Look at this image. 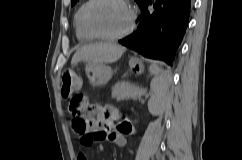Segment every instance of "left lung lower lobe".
Here are the masks:
<instances>
[{
  "label": "left lung lower lobe",
  "mask_w": 242,
  "mask_h": 160,
  "mask_svg": "<svg viewBox=\"0 0 242 160\" xmlns=\"http://www.w3.org/2000/svg\"><path fill=\"white\" fill-rule=\"evenodd\" d=\"M140 9L135 30L119 43L172 65L188 25L191 0H144Z\"/></svg>",
  "instance_id": "1"
}]
</instances>
